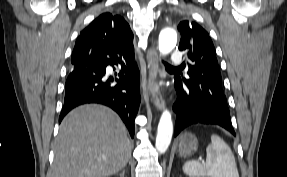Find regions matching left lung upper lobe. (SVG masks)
<instances>
[{
	"label": "left lung upper lobe",
	"instance_id": "1",
	"mask_svg": "<svg viewBox=\"0 0 287 177\" xmlns=\"http://www.w3.org/2000/svg\"><path fill=\"white\" fill-rule=\"evenodd\" d=\"M178 30L181 32L179 50L184 51L192 62L188 65V76L183 79L200 86L203 91L208 87L222 89L216 52L209 34L192 21L180 22Z\"/></svg>",
	"mask_w": 287,
	"mask_h": 177
}]
</instances>
